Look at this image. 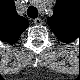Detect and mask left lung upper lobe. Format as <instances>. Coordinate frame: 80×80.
<instances>
[{"label":"left lung upper lobe","mask_w":80,"mask_h":80,"mask_svg":"<svg viewBox=\"0 0 80 80\" xmlns=\"http://www.w3.org/2000/svg\"><path fill=\"white\" fill-rule=\"evenodd\" d=\"M48 24L58 39L63 42L73 41L77 35L75 28L80 27L74 18L70 6L64 0H58L52 17Z\"/></svg>","instance_id":"left-lung-upper-lobe-1"}]
</instances>
